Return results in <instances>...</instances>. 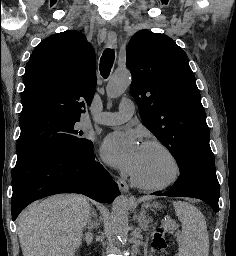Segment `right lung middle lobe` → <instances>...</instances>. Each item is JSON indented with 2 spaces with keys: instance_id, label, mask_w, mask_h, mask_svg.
Returning a JSON list of instances; mask_svg holds the SVG:
<instances>
[{
  "instance_id": "right-lung-middle-lobe-1",
  "label": "right lung middle lobe",
  "mask_w": 236,
  "mask_h": 256,
  "mask_svg": "<svg viewBox=\"0 0 236 256\" xmlns=\"http://www.w3.org/2000/svg\"><path fill=\"white\" fill-rule=\"evenodd\" d=\"M79 118L54 112H40L20 118L21 133L17 143V161L35 153L61 149L81 151L92 145L77 126Z\"/></svg>"
}]
</instances>
